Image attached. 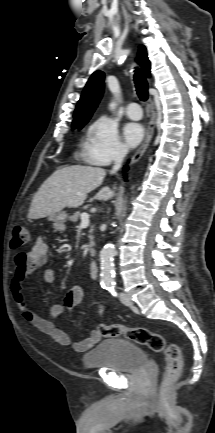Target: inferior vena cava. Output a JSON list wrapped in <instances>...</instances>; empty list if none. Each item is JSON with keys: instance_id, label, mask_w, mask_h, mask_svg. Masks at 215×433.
I'll list each match as a JSON object with an SVG mask.
<instances>
[{"instance_id": "1", "label": "inferior vena cava", "mask_w": 215, "mask_h": 433, "mask_svg": "<svg viewBox=\"0 0 215 433\" xmlns=\"http://www.w3.org/2000/svg\"><path fill=\"white\" fill-rule=\"evenodd\" d=\"M124 157H125V152L123 150H118L116 152L114 158V166L112 168L111 173H116L121 168Z\"/></svg>"}]
</instances>
